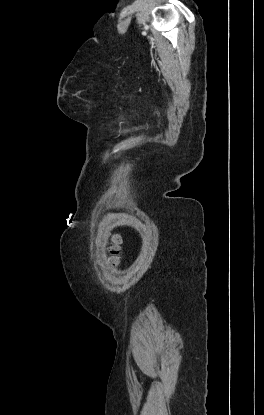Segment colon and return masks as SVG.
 <instances>
[{"label":"colon","instance_id":"5ec220e1","mask_svg":"<svg viewBox=\"0 0 264 415\" xmlns=\"http://www.w3.org/2000/svg\"><path fill=\"white\" fill-rule=\"evenodd\" d=\"M119 241L120 240H119L118 237L114 238V243L115 244H118ZM110 255H111V262L116 263L117 260H118V247L117 246H114L110 249Z\"/></svg>","mask_w":264,"mask_h":415}]
</instances>
